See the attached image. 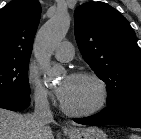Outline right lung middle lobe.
Masks as SVG:
<instances>
[{"label": "right lung middle lobe", "mask_w": 141, "mask_h": 139, "mask_svg": "<svg viewBox=\"0 0 141 139\" xmlns=\"http://www.w3.org/2000/svg\"><path fill=\"white\" fill-rule=\"evenodd\" d=\"M29 59H0V97L30 95Z\"/></svg>", "instance_id": "1"}]
</instances>
